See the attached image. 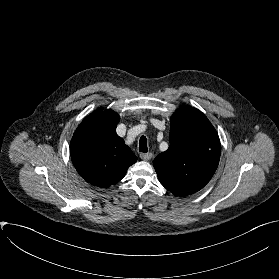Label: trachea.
I'll return each instance as SVG.
<instances>
[{
    "instance_id": "1",
    "label": "trachea",
    "mask_w": 279,
    "mask_h": 279,
    "mask_svg": "<svg viewBox=\"0 0 279 279\" xmlns=\"http://www.w3.org/2000/svg\"><path fill=\"white\" fill-rule=\"evenodd\" d=\"M139 151L146 153L148 152V148H147V140L145 136H141L140 140H139Z\"/></svg>"
}]
</instances>
